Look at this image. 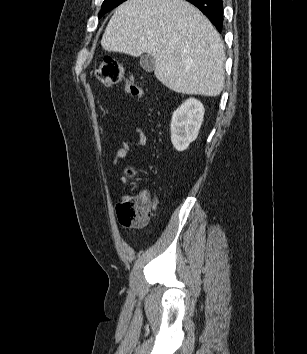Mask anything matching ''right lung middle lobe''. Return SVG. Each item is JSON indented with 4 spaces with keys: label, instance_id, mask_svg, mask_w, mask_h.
Returning a JSON list of instances; mask_svg holds the SVG:
<instances>
[{
    "label": "right lung middle lobe",
    "instance_id": "dd1d6c3e",
    "mask_svg": "<svg viewBox=\"0 0 307 354\" xmlns=\"http://www.w3.org/2000/svg\"><path fill=\"white\" fill-rule=\"evenodd\" d=\"M124 1H126V0H104V2L102 4L101 11L99 13V18L102 17V15H104L109 10L120 5Z\"/></svg>",
    "mask_w": 307,
    "mask_h": 354
}]
</instances>
